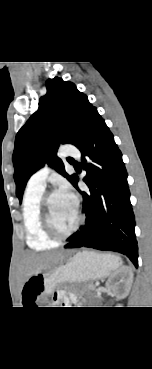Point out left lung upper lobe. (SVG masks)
I'll return each mask as SVG.
<instances>
[{
	"label": "left lung upper lobe",
	"mask_w": 152,
	"mask_h": 369,
	"mask_svg": "<svg viewBox=\"0 0 152 369\" xmlns=\"http://www.w3.org/2000/svg\"><path fill=\"white\" fill-rule=\"evenodd\" d=\"M47 93L39 100L38 111L19 130L13 152L16 195L20 202L30 176L47 162L71 183L76 174L65 173L56 156L60 144L76 145L97 110L74 83L55 77L46 81Z\"/></svg>",
	"instance_id": "5c2ea615"
}]
</instances>
